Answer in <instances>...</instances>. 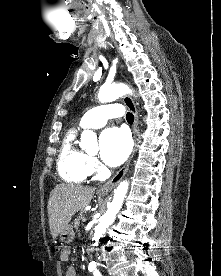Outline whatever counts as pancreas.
<instances>
[{"label": "pancreas", "instance_id": "1", "mask_svg": "<svg viewBox=\"0 0 221 276\" xmlns=\"http://www.w3.org/2000/svg\"><path fill=\"white\" fill-rule=\"evenodd\" d=\"M82 219V212L75 218L74 220V227L78 229L80 225V220Z\"/></svg>", "mask_w": 221, "mask_h": 276}]
</instances>
